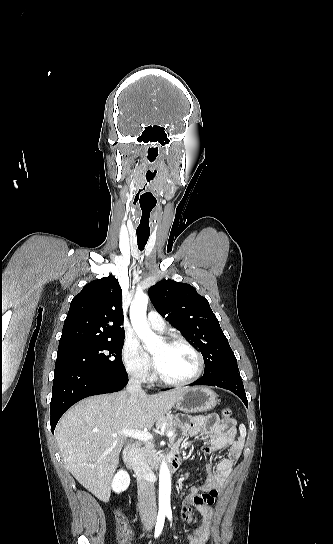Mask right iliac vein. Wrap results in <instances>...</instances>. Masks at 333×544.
Returning a JSON list of instances; mask_svg holds the SVG:
<instances>
[{
  "label": "right iliac vein",
  "mask_w": 333,
  "mask_h": 544,
  "mask_svg": "<svg viewBox=\"0 0 333 544\" xmlns=\"http://www.w3.org/2000/svg\"><path fill=\"white\" fill-rule=\"evenodd\" d=\"M145 527H146V529L149 530V529L152 527V524H151V523H147Z\"/></svg>",
  "instance_id": "obj_1"
}]
</instances>
